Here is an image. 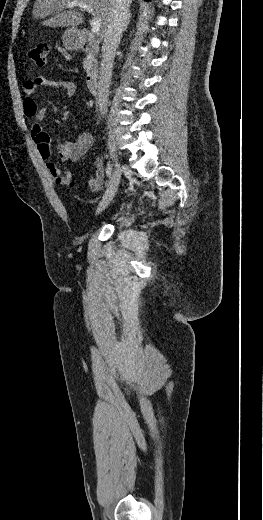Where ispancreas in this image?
I'll use <instances>...</instances> for the list:
<instances>
[{"label": "pancreas", "instance_id": "cf45deb5", "mask_svg": "<svg viewBox=\"0 0 263 520\" xmlns=\"http://www.w3.org/2000/svg\"><path fill=\"white\" fill-rule=\"evenodd\" d=\"M93 61L94 59L91 55L87 56L83 61V69L87 71L92 66Z\"/></svg>", "mask_w": 263, "mask_h": 520}]
</instances>
